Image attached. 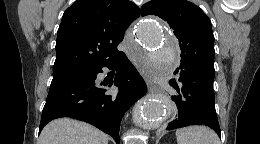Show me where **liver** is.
<instances>
[{
  "mask_svg": "<svg viewBox=\"0 0 260 144\" xmlns=\"http://www.w3.org/2000/svg\"><path fill=\"white\" fill-rule=\"evenodd\" d=\"M109 137L99 129L74 119L59 118L47 124L39 144H108Z\"/></svg>",
  "mask_w": 260,
  "mask_h": 144,
  "instance_id": "6515ba94",
  "label": "liver"
}]
</instances>
